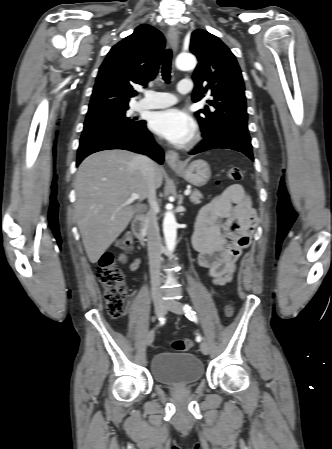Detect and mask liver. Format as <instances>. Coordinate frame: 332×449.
Wrapping results in <instances>:
<instances>
[{
  "label": "liver",
  "instance_id": "1",
  "mask_svg": "<svg viewBox=\"0 0 332 449\" xmlns=\"http://www.w3.org/2000/svg\"><path fill=\"white\" fill-rule=\"evenodd\" d=\"M125 150L94 153L82 161L75 179V215L91 263H96L132 220L136 209L130 196L141 202L149 188L137 162ZM162 185L161 168L155 164L154 188Z\"/></svg>",
  "mask_w": 332,
  "mask_h": 449
}]
</instances>
